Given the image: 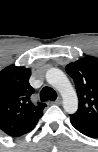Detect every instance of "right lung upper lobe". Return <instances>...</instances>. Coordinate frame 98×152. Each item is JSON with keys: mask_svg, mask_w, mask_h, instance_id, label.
<instances>
[{"mask_svg": "<svg viewBox=\"0 0 98 152\" xmlns=\"http://www.w3.org/2000/svg\"><path fill=\"white\" fill-rule=\"evenodd\" d=\"M31 70L10 65L0 72V130L21 136L37 124L45 103L32 102L35 92L29 84Z\"/></svg>", "mask_w": 98, "mask_h": 152, "instance_id": "obj_1", "label": "right lung upper lobe"}]
</instances>
